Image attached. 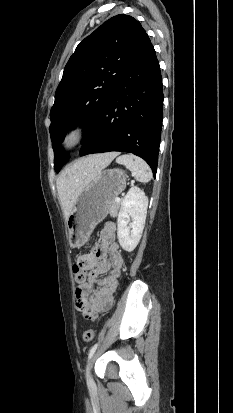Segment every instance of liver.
<instances>
[{
    "label": "liver",
    "instance_id": "liver-1",
    "mask_svg": "<svg viewBox=\"0 0 233 413\" xmlns=\"http://www.w3.org/2000/svg\"><path fill=\"white\" fill-rule=\"evenodd\" d=\"M118 155L117 152L91 155L65 168L57 179V190L65 220L82 190Z\"/></svg>",
    "mask_w": 233,
    "mask_h": 413
}]
</instances>
